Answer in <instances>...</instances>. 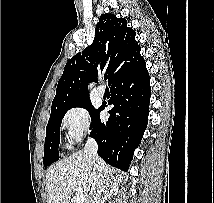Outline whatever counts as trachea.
<instances>
[{
  "instance_id": "trachea-1",
  "label": "trachea",
  "mask_w": 214,
  "mask_h": 203,
  "mask_svg": "<svg viewBox=\"0 0 214 203\" xmlns=\"http://www.w3.org/2000/svg\"><path fill=\"white\" fill-rule=\"evenodd\" d=\"M108 76L107 75H104V80H107Z\"/></svg>"
}]
</instances>
